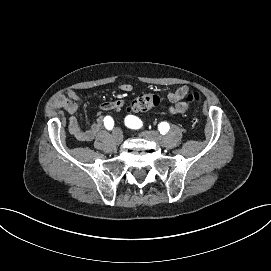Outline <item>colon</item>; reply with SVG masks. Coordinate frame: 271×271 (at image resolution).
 <instances>
[{"label":"colon","instance_id":"1","mask_svg":"<svg viewBox=\"0 0 271 271\" xmlns=\"http://www.w3.org/2000/svg\"><path fill=\"white\" fill-rule=\"evenodd\" d=\"M199 99V94L192 92L187 96V101L189 103L197 101ZM161 102V96L157 93H145L137 98H135L130 104V111L133 113H141L148 111Z\"/></svg>","mask_w":271,"mask_h":271}]
</instances>
